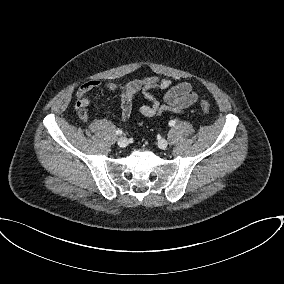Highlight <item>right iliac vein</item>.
I'll return each mask as SVG.
<instances>
[{
    "mask_svg": "<svg viewBox=\"0 0 284 284\" xmlns=\"http://www.w3.org/2000/svg\"><path fill=\"white\" fill-rule=\"evenodd\" d=\"M117 143H118L119 147L124 148L128 145V140L125 137H121V138L118 139Z\"/></svg>",
    "mask_w": 284,
    "mask_h": 284,
    "instance_id": "right-iliac-vein-1",
    "label": "right iliac vein"
}]
</instances>
